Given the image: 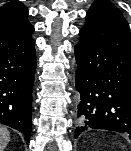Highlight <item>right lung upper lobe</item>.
Instances as JSON below:
<instances>
[{"label":"right lung upper lobe","mask_w":131,"mask_h":151,"mask_svg":"<svg viewBox=\"0 0 131 151\" xmlns=\"http://www.w3.org/2000/svg\"><path fill=\"white\" fill-rule=\"evenodd\" d=\"M27 16L28 10L21 2L11 1L0 7V37L20 35L34 29Z\"/></svg>","instance_id":"right-lung-upper-lobe-1"}]
</instances>
